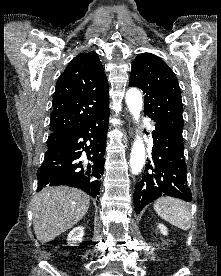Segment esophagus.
I'll use <instances>...</instances> for the list:
<instances>
[{
  "mask_svg": "<svg viewBox=\"0 0 221 276\" xmlns=\"http://www.w3.org/2000/svg\"><path fill=\"white\" fill-rule=\"evenodd\" d=\"M127 121H128L129 129H131V127H130L131 119L128 117V118H127Z\"/></svg>",
  "mask_w": 221,
  "mask_h": 276,
  "instance_id": "obj_1",
  "label": "esophagus"
}]
</instances>
